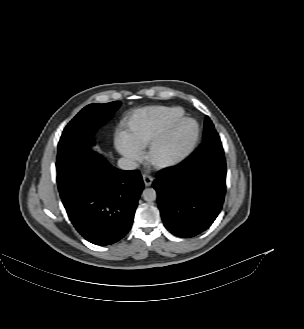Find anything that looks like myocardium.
I'll return each instance as SVG.
<instances>
[{"instance_id": "1", "label": "myocardium", "mask_w": 304, "mask_h": 329, "mask_svg": "<svg viewBox=\"0 0 304 329\" xmlns=\"http://www.w3.org/2000/svg\"><path fill=\"white\" fill-rule=\"evenodd\" d=\"M186 122L195 124V132L190 141L177 153L162 156L161 151L175 138L179 128ZM201 134L198 121L192 117H182L175 121L169 129L158 139L153 141L147 151L148 162L157 169H168L175 167L185 161L195 150Z\"/></svg>"}]
</instances>
